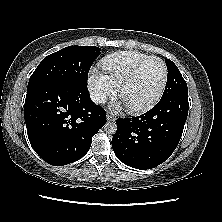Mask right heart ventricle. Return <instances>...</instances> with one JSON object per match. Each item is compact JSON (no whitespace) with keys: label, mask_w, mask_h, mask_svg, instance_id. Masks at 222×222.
<instances>
[{"label":"right heart ventricle","mask_w":222,"mask_h":222,"mask_svg":"<svg viewBox=\"0 0 222 222\" xmlns=\"http://www.w3.org/2000/svg\"><path fill=\"white\" fill-rule=\"evenodd\" d=\"M148 57L150 56L140 52L120 51L104 57L101 66L105 75L119 87L134 68Z\"/></svg>","instance_id":"right-heart-ventricle-1"}]
</instances>
